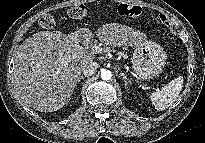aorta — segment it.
I'll use <instances>...</instances> for the list:
<instances>
[{
    "label": "aorta",
    "instance_id": "obj_1",
    "mask_svg": "<svg viewBox=\"0 0 205 143\" xmlns=\"http://www.w3.org/2000/svg\"><path fill=\"white\" fill-rule=\"evenodd\" d=\"M111 77H112V73H111L110 70H103V71H101V78L103 80H106V81L110 80Z\"/></svg>",
    "mask_w": 205,
    "mask_h": 143
}]
</instances>
